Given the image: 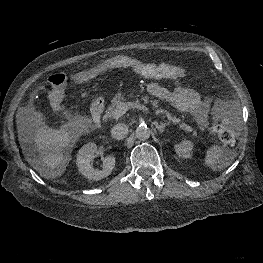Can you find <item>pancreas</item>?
Instances as JSON below:
<instances>
[{
    "label": "pancreas",
    "mask_w": 263,
    "mask_h": 263,
    "mask_svg": "<svg viewBox=\"0 0 263 263\" xmlns=\"http://www.w3.org/2000/svg\"><path fill=\"white\" fill-rule=\"evenodd\" d=\"M130 97H134L133 94H130ZM141 99L145 102V103H148L150 102L152 105H153V108H156V113L157 114H163L164 116H166L168 118V120L170 122H173L175 124H178L180 126V128H182L184 131L186 132H193V136H196L197 133L196 131L193 130L192 127L188 126L187 124L185 123H180V120L177 119L175 116H172L169 112H167L166 110L164 109H160L158 108L159 107V104H158V101L157 100H149V98L147 96H141ZM125 100V96L121 93H118L116 94L112 101H111V104L108 106L107 110H106V114H105V117L106 118H111V119H114L113 118V115H114V111L118 105L119 102Z\"/></svg>",
    "instance_id": "1"
}]
</instances>
